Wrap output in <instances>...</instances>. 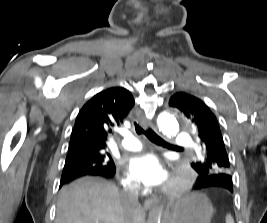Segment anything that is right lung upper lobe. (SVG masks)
Returning a JSON list of instances; mask_svg holds the SVG:
<instances>
[{
	"mask_svg": "<svg viewBox=\"0 0 267 223\" xmlns=\"http://www.w3.org/2000/svg\"><path fill=\"white\" fill-rule=\"evenodd\" d=\"M133 106L132 94L123 87L96 94L77 115L68 153L81 152L86 147L106 150L111 128L122 123Z\"/></svg>",
	"mask_w": 267,
	"mask_h": 223,
	"instance_id": "obj_1",
	"label": "right lung upper lobe"
}]
</instances>
